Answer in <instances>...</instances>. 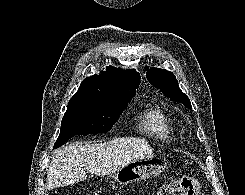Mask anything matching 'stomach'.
<instances>
[{
	"label": "stomach",
	"instance_id": "stomach-1",
	"mask_svg": "<svg viewBox=\"0 0 245 195\" xmlns=\"http://www.w3.org/2000/svg\"><path fill=\"white\" fill-rule=\"evenodd\" d=\"M166 166L158 158L145 157L137 159L120 170L115 172L113 178L120 185H127L132 182H140L149 179L152 176L160 175Z\"/></svg>",
	"mask_w": 245,
	"mask_h": 195
}]
</instances>
